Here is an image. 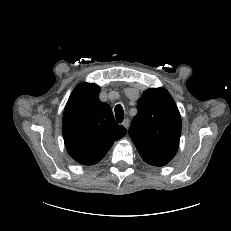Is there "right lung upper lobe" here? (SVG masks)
I'll return each instance as SVG.
<instances>
[{"label": "right lung upper lobe", "instance_id": "obj_1", "mask_svg": "<svg viewBox=\"0 0 231 231\" xmlns=\"http://www.w3.org/2000/svg\"><path fill=\"white\" fill-rule=\"evenodd\" d=\"M100 87L93 83L79 84L64 109L62 132L69 155L78 163H98L113 143L127 130L118 125L108 104L98 98Z\"/></svg>", "mask_w": 231, "mask_h": 231}]
</instances>
